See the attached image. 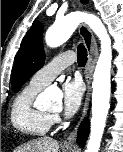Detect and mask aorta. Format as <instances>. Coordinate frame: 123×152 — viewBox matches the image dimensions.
I'll use <instances>...</instances> for the list:
<instances>
[{"label":"aorta","instance_id":"762f6f07","mask_svg":"<svg viewBox=\"0 0 123 152\" xmlns=\"http://www.w3.org/2000/svg\"><path fill=\"white\" fill-rule=\"evenodd\" d=\"M83 21L101 42V53L93 75L91 131L86 150L98 152L110 108L112 49L107 30L98 17L75 12L57 19L47 30L45 41L51 48L62 45ZM38 101L42 108H49L53 101H60V95H54L51 89H47L39 96Z\"/></svg>","mask_w":123,"mask_h":152}]
</instances>
